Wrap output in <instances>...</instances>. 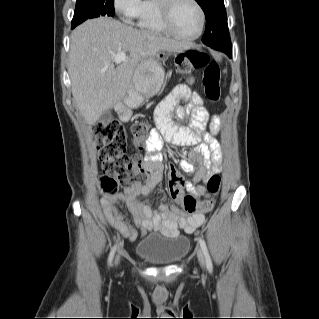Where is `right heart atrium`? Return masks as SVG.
Wrapping results in <instances>:
<instances>
[{
  "instance_id": "right-heart-atrium-1",
  "label": "right heart atrium",
  "mask_w": 319,
  "mask_h": 319,
  "mask_svg": "<svg viewBox=\"0 0 319 319\" xmlns=\"http://www.w3.org/2000/svg\"><path fill=\"white\" fill-rule=\"evenodd\" d=\"M141 0H114L113 6L119 17L125 22L131 23L138 17Z\"/></svg>"
}]
</instances>
